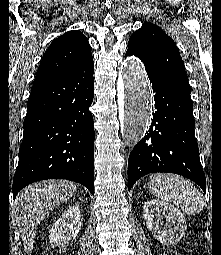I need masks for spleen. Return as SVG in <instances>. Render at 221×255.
Segmentation results:
<instances>
[{
    "mask_svg": "<svg viewBox=\"0 0 221 255\" xmlns=\"http://www.w3.org/2000/svg\"><path fill=\"white\" fill-rule=\"evenodd\" d=\"M148 188L155 197L172 202L187 214H198L205 204L200 191L189 180L176 174H152Z\"/></svg>",
    "mask_w": 221,
    "mask_h": 255,
    "instance_id": "spleen-1",
    "label": "spleen"
}]
</instances>
